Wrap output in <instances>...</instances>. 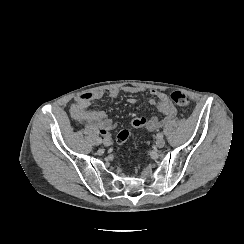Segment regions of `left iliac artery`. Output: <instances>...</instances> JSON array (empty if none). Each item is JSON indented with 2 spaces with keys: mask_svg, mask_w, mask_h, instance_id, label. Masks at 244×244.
<instances>
[{
  "mask_svg": "<svg viewBox=\"0 0 244 244\" xmlns=\"http://www.w3.org/2000/svg\"><path fill=\"white\" fill-rule=\"evenodd\" d=\"M157 138H163V134L162 133H158L157 134Z\"/></svg>",
  "mask_w": 244,
  "mask_h": 244,
  "instance_id": "left-iliac-artery-1",
  "label": "left iliac artery"
}]
</instances>
